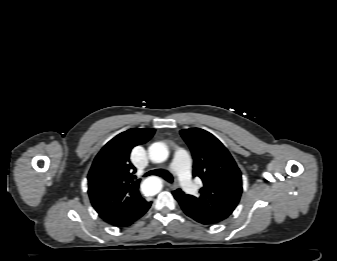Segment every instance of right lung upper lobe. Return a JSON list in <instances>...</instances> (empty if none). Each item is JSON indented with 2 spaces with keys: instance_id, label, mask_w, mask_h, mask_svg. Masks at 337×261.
<instances>
[{
  "instance_id": "cb5924a9",
  "label": "right lung upper lobe",
  "mask_w": 337,
  "mask_h": 261,
  "mask_svg": "<svg viewBox=\"0 0 337 261\" xmlns=\"http://www.w3.org/2000/svg\"><path fill=\"white\" fill-rule=\"evenodd\" d=\"M155 129L133 128L110 140L95 157L88 174V193L99 216L111 225L139 217L148 205L139 194L131 149L146 143Z\"/></svg>"
}]
</instances>
